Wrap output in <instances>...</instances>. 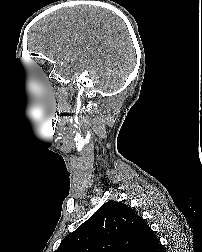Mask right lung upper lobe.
<instances>
[{"label":"right lung upper lobe","instance_id":"right-lung-upper-lobe-1","mask_svg":"<svg viewBox=\"0 0 202 252\" xmlns=\"http://www.w3.org/2000/svg\"><path fill=\"white\" fill-rule=\"evenodd\" d=\"M160 247L153 230L133 209L109 201L64 238L55 252H158Z\"/></svg>","mask_w":202,"mask_h":252}]
</instances>
